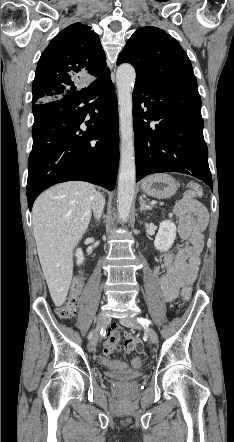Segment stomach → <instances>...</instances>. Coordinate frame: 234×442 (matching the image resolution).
Masks as SVG:
<instances>
[{
    "instance_id": "stomach-1",
    "label": "stomach",
    "mask_w": 234,
    "mask_h": 442,
    "mask_svg": "<svg viewBox=\"0 0 234 442\" xmlns=\"http://www.w3.org/2000/svg\"><path fill=\"white\" fill-rule=\"evenodd\" d=\"M141 189L154 198L167 199L176 193L178 184L171 175L157 173L146 177L141 183Z\"/></svg>"
}]
</instances>
